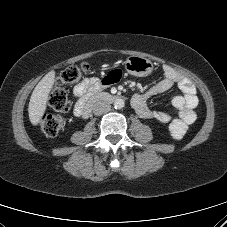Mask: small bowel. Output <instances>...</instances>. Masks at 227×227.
I'll return each instance as SVG.
<instances>
[{
    "label": "small bowel",
    "instance_id": "small-bowel-1",
    "mask_svg": "<svg viewBox=\"0 0 227 227\" xmlns=\"http://www.w3.org/2000/svg\"><path fill=\"white\" fill-rule=\"evenodd\" d=\"M164 77L150 87L144 93L135 94L132 98V106L136 114L142 119H156L160 122H170L169 132L173 139H181L187 132L188 126L196 119L195 108L198 105L197 91L194 84L185 76L180 75L172 67H163ZM121 78V71H111L105 78L98 80L89 78L79 83L74 88V95L78 98L75 114L80 115L81 107L87 96L103 88L110 86ZM177 84L182 95H176L172 99V106L177 111V118H173L168 111L151 110L147 105V98L168 91Z\"/></svg>",
    "mask_w": 227,
    "mask_h": 227
}]
</instances>
